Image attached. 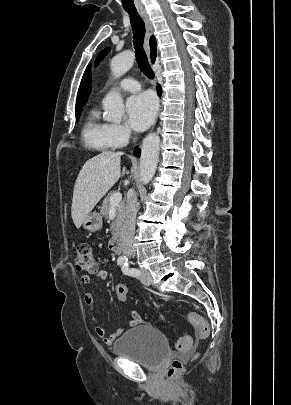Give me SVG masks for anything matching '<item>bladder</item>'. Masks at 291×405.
I'll return each instance as SVG.
<instances>
[{
  "mask_svg": "<svg viewBox=\"0 0 291 405\" xmlns=\"http://www.w3.org/2000/svg\"><path fill=\"white\" fill-rule=\"evenodd\" d=\"M116 355L126 357L142 367L158 368L170 352L166 336L151 325H140L126 331L114 344Z\"/></svg>",
  "mask_w": 291,
  "mask_h": 405,
  "instance_id": "31cf9c89",
  "label": "bladder"
}]
</instances>
